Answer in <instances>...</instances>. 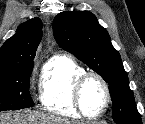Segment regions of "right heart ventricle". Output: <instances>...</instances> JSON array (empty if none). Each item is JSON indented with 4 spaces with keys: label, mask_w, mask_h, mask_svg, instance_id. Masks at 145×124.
I'll list each match as a JSON object with an SVG mask.
<instances>
[{
    "label": "right heart ventricle",
    "mask_w": 145,
    "mask_h": 124,
    "mask_svg": "<svg viewBox=\"0 0 145 124\" xmlns=\"http://www.w3.org/2000/svg\"><path fill=\"white\" fill-rule=\"evenodd\" d=\"M84 72L85 69L69 57L51 58L40 80L39 100L43 109L59 117H80L73 100V86Z\"/></svg>",
    "instance_id": "obj_1"
}]
</instances>
